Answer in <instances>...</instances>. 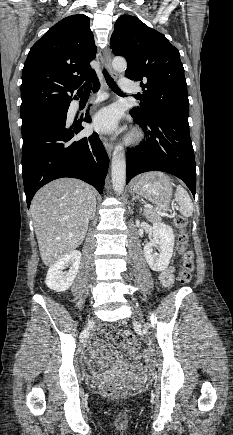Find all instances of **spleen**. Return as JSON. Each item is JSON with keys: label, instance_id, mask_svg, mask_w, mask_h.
<instances>
[{"label": "spleen", "instance_id": "1", "mask_svg": "<svg viewBox=\"0 0 233 435\" xmlns=\"http://www.w3.org/2000/svg\"><path fill=\"white\" fill-rule=\"evenodd\" d=\"M175 200L179 204L180 213L185 217H190L193 214V203L187 193V191L182 186H177L175 192Z\"/></svg>", "mask_w": 233, "mask_h": 435}]
</instances>
